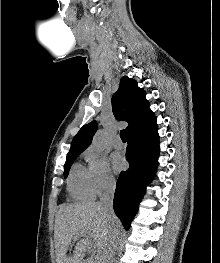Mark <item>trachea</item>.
I'll return each instance as SVG.
<instances>
[{"mask_svg": "<svg viewBox=\"0 0 220 263\" xmlns=\"http://www.w3.org/2000/svg\"><path fill=\"white\" fill-rule=\"evenodd\" d=\"M120 137H121L123 142L126 141V131L125 130L120 131Z\"/></svg>", "mask_w": 220, "mask_h": 263, "instance_id": "trachea-1", "label": "trachea"}]
</instances>
